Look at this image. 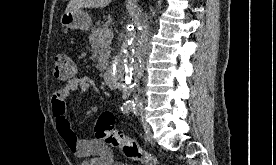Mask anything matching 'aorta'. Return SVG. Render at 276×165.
Wrapping results in <instances>:
<instances>
[{
    "label": "aorta",
    "mask_w": 276,
    "mask_h": 165,
    "mask_svg": "<svg viewBox=\"0 0 276 165\" xmlns=\"http://www.w3.org/2000/svg\"><path fill=\"white\" fill-rule=\"evenodd\" d=\"M140 32L137 27L129 29L113 63L111 77L118 87L132 88L143 71L145 43Z\"/></svg>",
    "instance_id": "762f6f07"
}]
</instances>
